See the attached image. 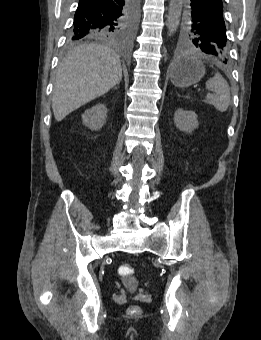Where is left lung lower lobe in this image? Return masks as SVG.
Listing matches in <instances>:
<instances>
[{"label": "left lung lower lobe", "instance_id": "1", "mask_svg": "<svg viewBox=\"0 0 261 340\" xmlns=\"http://www.w3.org/2000/svg\"><path fill=\"white\" fill-rule=\"evenodd\" d=\"M188 3L195 15L213 17L223 13L222 0H188Z\"/></svg>", "mask_w": 261, "mask_h": 340}]
</instances>
